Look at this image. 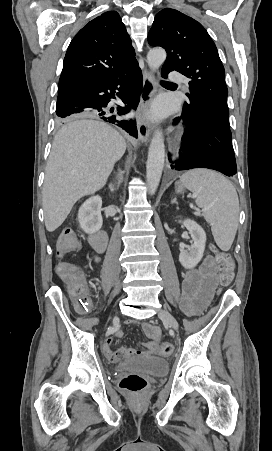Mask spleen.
Wrapping results in <instances>:
<instances>
[{
	"label": "spleen",
	"instance_id": "3e777b00",
	"mask_svg": "<svg viewBox=\"0 0 272 451\" xmlns=\"http://www.w3.org/2000/svg\"><path fill=\"white\" fill-rule=\"evenodd\" d=\"M196 196L198 208L211 226L214 239L223 251L230 249L238 227L239 200L230 180L213 170H189L180 178Z\"/></svg>",
	"mask_w": 272,
	"mask_h": 451
}]
</instances>
